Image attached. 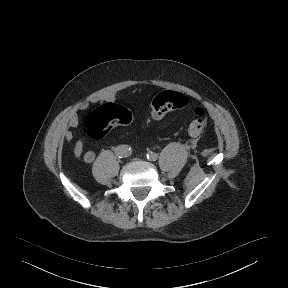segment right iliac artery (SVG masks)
Instances as JSON below:
<instances>
[{"mask_svg":"<svg viewBox=\"0 0 288 288\" xmlns=\"http://www.w3.org/2000/svg\"><path fill=\"white\" fill-rule=\"evenodd\" d=\"M127 154V148L125 146H120L118 148H116V155L119 158L124 157Z\"/></svg>","mask_w":288,"mask_h":288,"instance_id":"obj_1","label":"right iliac artery"}]
</instances>
